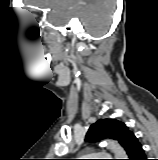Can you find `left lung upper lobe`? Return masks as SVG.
<instances>
[{
  "instance_id": "5c2ea615",
  "label": "left lung upper lobe",
  "mask_w": 158,
  "mask_h": 160,
  "mask_svg": "<svg viewBox=\"0 0 158 160\" xmlns=\"http://www.w3.org/2000/svg\"><path fill=\"white\" fill-rule=\"evenodd\" d=\"M131 134L132 132L123 122L115 119H100L90 126L85 141L98 142L105 138H111L125 147Z\"/></svg>"
}]
</instances>
